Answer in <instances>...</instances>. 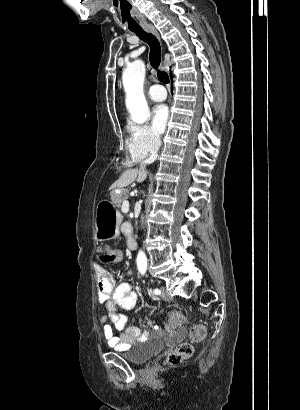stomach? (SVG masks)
I'll use <instances>...</instances> for the list:
<instances>
[{"instance_id": "obj_1", "label": "stomach", "mask_w": 300, "mask_h": 410, "mask_svg": "<svg viewBox=\"0 0 300 410\" xmlns=\"http://www.w3.org/2000/svg\"><path fill=\"white\" fill-rule=\"evenodd\" d=\"M115 193L114 191L111 192V199L115 196ZM116 207L113 200L112 202L104 200L98 204L95 217V236L98 241L118 237L122 216Z\"/></svg>"}]
</instances>
